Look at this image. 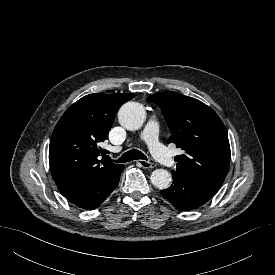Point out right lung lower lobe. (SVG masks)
Segmentation results:
<instances>
[{"label": "right lung lower lobe", "instance_id": "obj_1", "mask_svg": "<svg viewBox=\"0 0 275 275\" xmlns=\"http://www.w3.org/2000/svg\"><path fill=\"white\" fill-rule=\"evenodd\" d=\"M125 166L121 165L114 173L88 187L65 193L64 196L75 205L84 209H95L118 186L121 172Z\"/></svg>", "mask_w": 275, "mask_h": 275}]
</instances>
